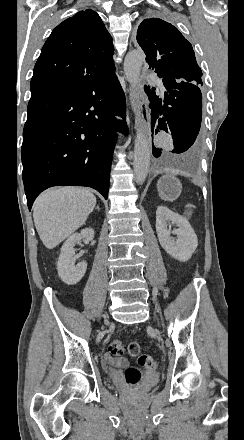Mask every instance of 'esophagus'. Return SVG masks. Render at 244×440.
I'll return each instance as SVG.
<instances>
[{
    "label": "esophagus",
    "instance_id": "34e87169",
    "mask_svg": "<svg viewBox=\"0 0 244 440\" xmlns=\"http://www.w3.org/2000/svg\"><path fill=\"white\" fill-rule=\"evenodd\" d=\"M129 102L135 113V128L141 127L147 138L150 136V114L148 105L143 95L136 96L128 89Z\"/></svg>",
    "mask_w": 244,
    "mask_h": 440
}]
</instances>
